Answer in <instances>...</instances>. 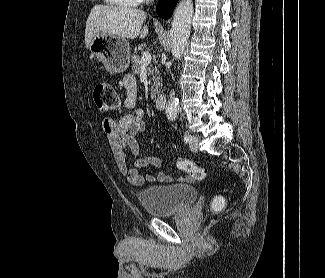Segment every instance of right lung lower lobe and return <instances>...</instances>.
I'll use <instances>...</instances> for the list:
<instances>
[{
  "label": "right lung lower lobe",
  "instance_id": "right-lung-lower-lobe-1",
  "mask_svg": "<svg viewBox=\"0 0 325 278\" xmlns=\"http://www.w3.org/2000/svg\"><path fill=\"white\" fill-rule=\"evenodd\" d=\"M178 0H160L156 6L158 16L161 18L171 17Z\"/></svg>",
  "mask_w": 325,
  "mask_h": 278
}]
</instances>
